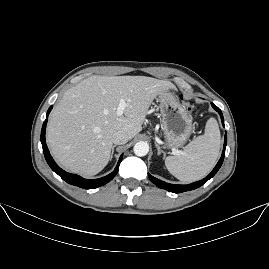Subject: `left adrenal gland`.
I'll return each instance as SVG.
<instances>
[{"instance_id":"obj_1","label":"left adrenal gland","mask_w":269,"mask_h":269,"mask_svg":"<svg viewBox=\"0 0 269 269\" xmlns=\"http://www.w3.org/2000/svg\"><path fill=\"white\" fill-rule=\"evenodd\" d=\"M155 146L158 150L157 155H160L161 153H163V155H164L163 159H165L166 153L163 150H161L160 146L156 142H155Z\"/></svg>"}]
</instances>
